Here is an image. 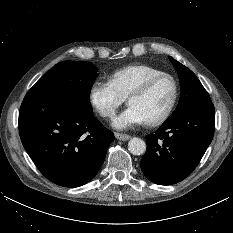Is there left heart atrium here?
Returning <instances> with one entry per match:
<instances>
[{
    "instance_id": "obj_1",
    "label": "left heart atrium",
    "mask_w": 233,
    "mask_h": 233,
    "mask_svg": "<svg viewBox=\"0 0 233 233\" xmlns=\"http://www.w3.org/2000/svg\"><path fill=\"white\" fill-rule=\"evenodd\" d=\"M146 122L143 114L133 105H130L120 113L113 121L117 129H127Z\"/></svg>"
}]
</instances>
